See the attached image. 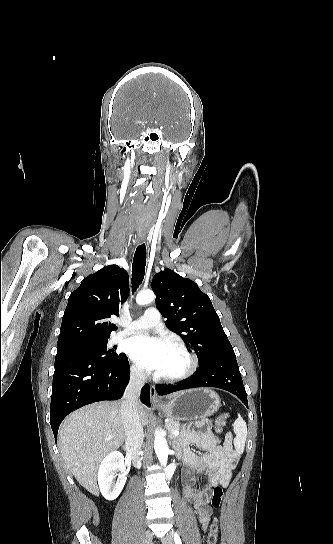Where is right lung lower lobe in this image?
I'll list each match as a JSON object with an SVG mask.
<instances>
[{"mask_svg": "<svg viewBox=\"0 0 333 544\" xmlns=\"http://www.w3.org/2000/svg\"><path fill=\"white\" fill-rule=\"evenodd\" d=\"M129 379L126 355L107 363L91 357L84 350L58 349L50 408V424L56 442L58 428L69 413L97 401L118 400ZM141 401L150 406L148 385L142 388Z\"/></svg>", "mask_w": 333, "mask_h": 544, "instance_id": "1", "label": "right lung lower lobe"}]
</instances>
